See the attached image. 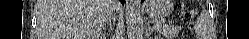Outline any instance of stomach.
I'll list each match as a JSON object with an SVG mask.
<instances>
[{
    "label": "stomach",
    "instance_id": "1",
    "mask_svg": "<svg viewBox=\"0 0 249 39\" xmlns=\"http://www.w3.org/2000/svg\"><path fill=\"white\" fill-rule=\"evenodd\" d=\"M144 10L155 22H160L171 14L173 11V3L169 0H147L144 5Z\"/></svg>",
    "mask_w": 249,
    "mask_h": 39
}]
</instances>
